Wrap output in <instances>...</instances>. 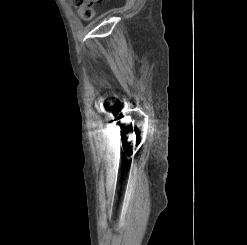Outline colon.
I'll list each match as a JSON object with an SVG mask.
<instances>
[{"label": "colon", "instance_id": "1", "mask_svg": "<svg viewBox=\"0 0 247 245\" xmlns=\"http://www.w3.org/2000/svg\"><path fill=\"white\" fill-rule=\"evenodd\" d=\"M70 1L83 19L90 20L94 16L95 13L94 7L99 0H70Z\"/></svg>", "mask_w": 247, "mask_h": 245}]
</instances>
